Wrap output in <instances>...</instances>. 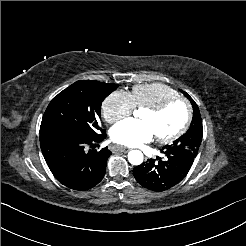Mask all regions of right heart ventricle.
I'll list each match as a JSON object with an SVG mask.
<instances>
[{
    "mask_svg": "<svg viewBox=\"0 0 246 246\" xmlns=\"http://www.w3.org/2000/svg\"><path fill=\"white\" fill-rule=\"evenodd\" d=\"M131 95L134 107L145 109L177 96L178 93L166 84L150 83L134 86Z\"/></svg>",
    "mask_w": 246,
    "mask_h": 246,
    "instance_id": "obj_1",
    "label": "right heart ventricle"
}]
</instances>
